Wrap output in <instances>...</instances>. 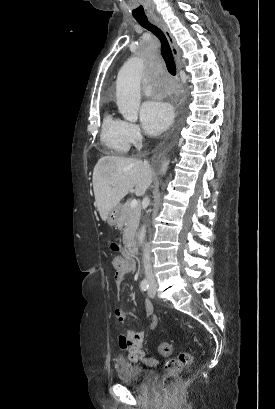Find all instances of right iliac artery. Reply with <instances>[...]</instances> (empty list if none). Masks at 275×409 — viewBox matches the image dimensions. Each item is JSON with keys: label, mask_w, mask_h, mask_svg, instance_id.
I'll return each instance as SVG.
<instances>
[{"label": "right iliac artery", "mask_w": 275, "mask_h": 409, "mask_svg": "<svg viewBox=\"0 0 275 409\" xmlns=\"http://www.w3.org/2000/svg\"><path fill=\"white\" fill-rule=\"evenodd\" d=\"M140 288H141V290L146 291L149 288L148 280H146V279L142 280L141 283H140Z\"/></svg>", "instance_id": "82829eb1"}]
</instances>
